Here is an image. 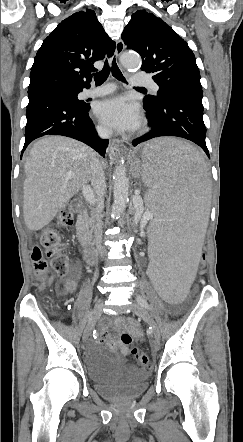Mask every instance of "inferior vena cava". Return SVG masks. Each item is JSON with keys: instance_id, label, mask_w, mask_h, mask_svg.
<instances>
[{"instance_id": "1", "label": "inferior vena cava", "mask_w": 243, "mask_h": 442, "mask_svg": "<svg viewBox=\"0 0 243 442\" xmlns=\"http://www.w3.org/2000/svg\"><path fill=\"white\" fill-rule=\"evenodd\" d=\"M98 134L101 138H109L112 134V131L106 128L98 127L97 128ZM91 185L93 187L95 198L89 199L90 202H93L96 204V208L94 209V212L92 213V221H93V231H94V242L96 245L97 250L100 252V254H105V250L102 246V226L103 222L101 220V207L103 204V197L106 190V181H105V174L103 170V165L99 161L98 158H96L92 165V174H91Z\"/></svg>"}]
</instances>
